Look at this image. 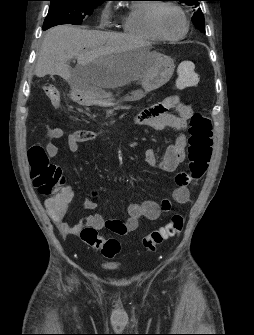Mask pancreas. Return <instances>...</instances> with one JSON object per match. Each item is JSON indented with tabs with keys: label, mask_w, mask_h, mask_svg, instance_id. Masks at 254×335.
Masks as SVG:
<instances>
[{
	"label": "pancreas",
	"mask_w": 254,
	"mask_h": 335,
	"mask_svg": "<svg viewBox=\"0 0 254 335\" xmlns=\"http://www.w3.org/2000/svg\"><path fill=\"white\" fill-rule=\"evenodd\" d=\"M130 107L129 106H120V105H117L116 107H114L112 110H110L108 113H113L114 110H119V109H129Z\"/></svg>",
	"instance_id": "1"
}]
</instances>
